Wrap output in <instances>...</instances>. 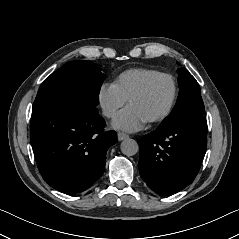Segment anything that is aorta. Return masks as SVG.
Returning <instances> with one entry per match:
<instances>
[{
	"instance_id": "762f6f07",
	"label": "aorta",
	"mask_w": 239,
	"mask_h": 239,
	"mask_svg": "<svg viewBox=\"0 0 239 239\" xmlns=\"http://www.w3.org/2000/svg\"><path fill=\"white\" fill-rule=\"evenodd\" d=\"M120 149L124 155L133 156L139 151V146L134 139L127 138L121 142Z\"/></svg>"
}]
</instances>
